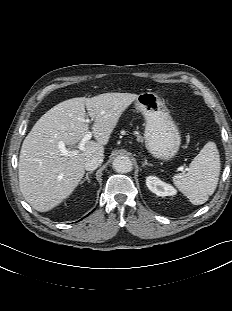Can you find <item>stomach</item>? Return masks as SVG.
Returning a JSON list of instances; mask_svg holds the SVG:
<instances>
[{
  "instance_id": "obj_1",
  "label": "stomach",
  "mask_w": 232,
  "mask_h": 311,
  "mask_svg": "<svg viewBox=\"0 0 232 311\" xmlns=\"http://www.w3.org/2000/svg\"><path fill=\"white\" fill-rule=\"evenodd\" d=\"M135 108L146 121L144 140L148 151L158 159H171L179 151L181 135L164 101L155 93L144 92L135 100Z\"/></svg>"
}]
</instances>
